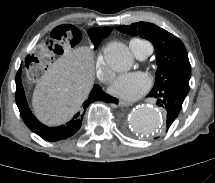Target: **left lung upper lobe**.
I'll return each mask as SVG.
<instances>
[{
	"label": "left lung upper lobe",
	"mask_w": 215,
	"mask_h": 183,
	"mask_svg": "<svg viewBox=\"0 0 215 183\" xmlns=\"http://www.w3.org/2000/svg\"><path fill=\"white\" fill-rule=\"evenodd\" d=\"M123 33L139 35L151 41L156 49L157 71L152 91L164 87H177L189 92L191 66L184 44L166 30L146 22L117 27Z\"/></svg>",
	"instance_id": "obj_1"
}]
</instances>
